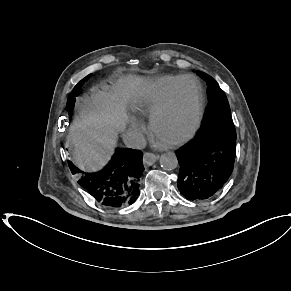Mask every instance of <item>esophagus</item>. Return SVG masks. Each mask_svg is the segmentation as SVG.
<instances>
[{"instance_id": "1", "label": "esophagus", "mask_w": 291, "mask_h": 291, "mask_svg": "<svg viewBox=\"0 0 291 291\" xmlns=\"http://www.w3.org/2000/svg\"><path fill=\"white\" fill-rule=\"evenodd\" d=\"M158 158H159L158 155H155L150 152H146L143 155V163L145 166H151L158 160Z\"/></svg>"}]
</instances>
